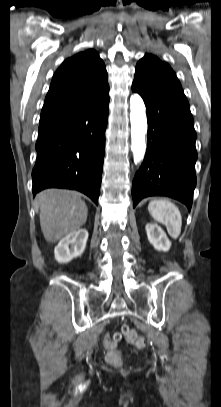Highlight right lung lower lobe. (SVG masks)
Returning <instances> with one entry per match:
<instances>
[{
	"mask_svg": "<svg viewBox=\"0 0 221 407\" xmlns=\"http://www.w3.org/2000/svg\"><path fill=\"white\" fill-rule=\"evenodd\" d=\"M108 104L107 93L84 106L40 117L33 193L74 189L98 205Z\"/></svg>",
	"mask_w": 221,
	"mask_h": 407,
	"instance_id": "right-lung-lower-lobe-1",
	"label": "right lung lower lobe"
}]
</instances>
